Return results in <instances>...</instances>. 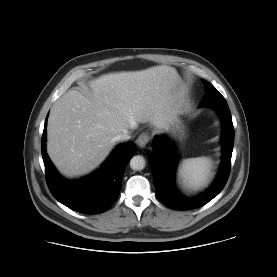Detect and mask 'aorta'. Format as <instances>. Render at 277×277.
I'll return each instance as SVG.
<instances>
[{
	"mask_svg": "<svg viewBox=\"0 0 277 277\" xmlns=\"http://www.w3.org/2000/svg\"><path fill=\"white\" fill-rule=\"evenodd\" d=\"M146 165V161L143 156L136 155L130 160V167L133 170H142Z\"/></svg>",
	"mask_w": 277,
	"mask_h": 277,
	"instance_id": "obj_1",
	"label": "aorta"
}]
</instances>
